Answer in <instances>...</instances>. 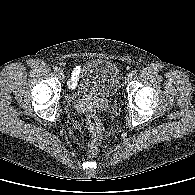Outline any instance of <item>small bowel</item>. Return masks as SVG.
<instances>
[{
	"mask_svg": "<svg viewBox=\"0 0 195 195\" xmlns=\"http://www.w3.org/2000/svg\"><path fill=\"white\" fill-rule=\"evenodd\" d=\"M80 73H81V67L80 66L75 67L69 81L70 88H74L76 86L79 80Z\"/></svg>",
	"mask_w": 195,
	"mask_h": 195,
	"instance_id": "small-bowel-1",
	"label": "small bowel"
}]
</instances>
